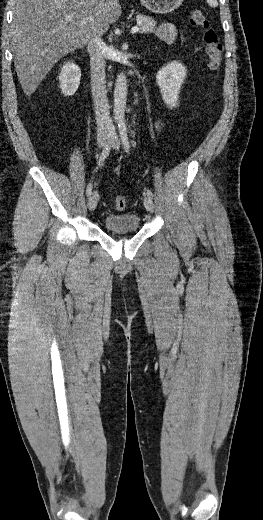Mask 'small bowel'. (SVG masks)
Wrapping results in <instances>:
<instances>
[{
	"label": "small bowel",
	"instance_id": "1",
	"mask_svg": "<svg viewBox=\"0 0 263 520\" xmlns=\"http://www.w3.org/2000/svg\"><path fill=\"white\" fill-rule=\"evenodd\" d=\"M176 34V30L171 24H163L158 31V36L166 42H172L176 38ZM156 127L160 128V124L158 123Z\"/></svg>",
	"mask_w": 263,
	"mask_h": 520
}]
</instances>
